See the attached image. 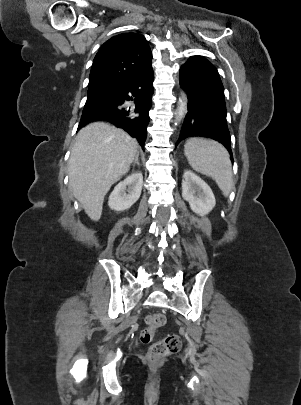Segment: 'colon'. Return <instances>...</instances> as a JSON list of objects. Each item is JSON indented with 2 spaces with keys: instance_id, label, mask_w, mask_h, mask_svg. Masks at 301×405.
I'll list each match as a JSON object with an SVG mask.
<instances>
[{
  "instance_id": "obj_1",
  "label": "colon",
  "mask_w": 301,
  "mask_h": 405,
  "mask_svg": "<svg viewBox=\"0 0 301 405\" xmlns=\"http://www.w3.org/2000/svg\"><path fill=\"white\" fill-rule=\"evenodd\" d=\"M147 327L140 334V341L143 344H150L153 340L154 331L165 323V317L162 314H151L146 317ZM182 342L178 335L169 334L162 340L150 345L147 358L152 364L159 363L168 355L177 353L181 348Z\"/></svg>"
}]
</instances>
